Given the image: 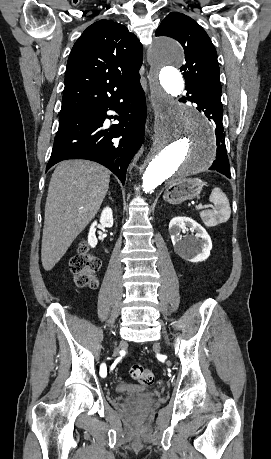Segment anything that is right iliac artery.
<instances>
[{"label":"right iliac artery","mask_w":271,"mask_h":459,"mask_svg":"<svg viewBox=\"0 0 271 459\" xmlns=\"http://www.w3.org/2000/svg\"><path fill=\"white\" fill-rule=\"evenodd\" d=\"M100 369H101V373L105 374L106 373V369H107L106 368V363H100Z\"/></svg>","instance_id":"82829eb1"}]
</instances>
